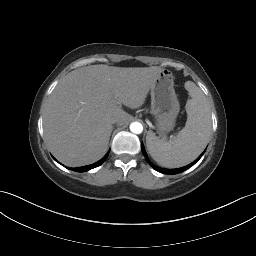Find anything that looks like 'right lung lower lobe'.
Returning a JSON list of instances; mask_svg holds the SVG:
<instances>
[{
  "mask_svg": "<svg viewBox=\"0 0 256 256\" xmlns=\"http://www.w3.org/2000/svg\"><path fill=\"white\" fill-rule=\"evenodd\" d=\"M109 152L98 162L92 164V165H87V166H83V167H78V168H72L73 171H78V172H85L88 171L90 169H93L95 167L100 166L102 163H104V161L106 160V158L108 157Z\"/></svg>",
  "mask_w": 256,
  "mask_h": 256,
  "instance_id": "obj_1",
  "label": "right lung lower lobe"
}]
</instances>
